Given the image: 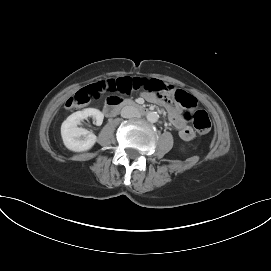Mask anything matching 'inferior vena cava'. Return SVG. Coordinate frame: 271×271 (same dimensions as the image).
Instances as JSON below:
<instances>
[{"mask_svg":"<svg viewBox=\"0 0 271 271\" xmlns=\"http://www.w3.org/2000/svg\"><path fill=\"white\" fill-rule=\"evenodd\" d=\"M139 115L138 111L132 106H125L121 110V116L123 118H132Z\"/></svg>","mask_w":271,"mask_h":271,"instance_id":"obj_1","label":"inferior vena cava"}]
</instances>
